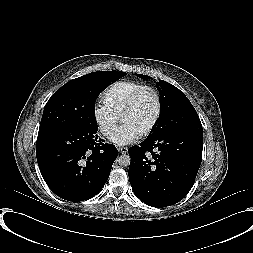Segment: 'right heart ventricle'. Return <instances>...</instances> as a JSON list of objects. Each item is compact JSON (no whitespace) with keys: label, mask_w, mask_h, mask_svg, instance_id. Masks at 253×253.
Segmentation results:
<instances>
[{"label":"right heart ventricle","mask_w":253,"mask_h":253,"mask_svg":"<svg viewBox=\"0 0 253 253\" xmlns=\"http://www.w3.org/2000/svg\"><path fill=\"white\" fill-rule=\"evenodd\" d=\"M142 86H145V84L136 81H117L105 89L101 96L102 101L113 112L120 115V112L129 97Z\"/></svg>","instance_id":"e07e8e85"}]
</instances>
